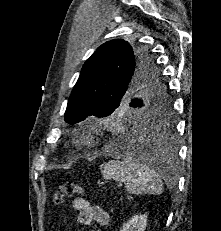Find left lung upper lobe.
I'll return each mask as SVG.
<instances>
[{
    "instance_id": "5c2ea615",
    "label": "left lung upper lobe",
    "mask_w": 221,
    "mask_h": 231,
    "mask_svg": "<svg viewBox=\"0 0 221 231\" xmlns=\"http://www.w3.org/2000/svg\"><path fill=\"white\" fill-rule=\"evenodd\" d=\"M128 105L141 107L144 115L164 123L171 119L168 89L151 53L115 39L102 44L83 65L65 121L76 124L92 116L115 115Z\"/></svg>"
}]
</instances>
